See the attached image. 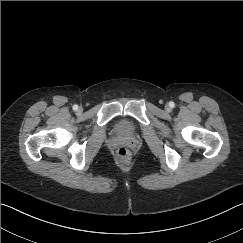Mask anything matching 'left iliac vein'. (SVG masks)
Wrapping results in <instances>:
<instances>
[{"instance_id": "obj_1", "label": "left iliac vein", "mask_w": 243, "mask_h": 243, "mask_svg": "<svg viewBox=\"0 0 243 243\" xmlns=\"http://www.w3.org/2000/svg\"><path fill=\"white\" fill-rule=\"evenodd\" d=\"M166 109L169 110L170 108L168 106H166Z\"/></svg>"}]
</instances>
